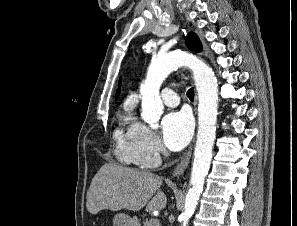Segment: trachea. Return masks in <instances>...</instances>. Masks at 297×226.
I'll use <instances>...</instances> for the list:
<instances>
[{"label":"trachea","instance_id":"obj_1","mask_svg":"<svg viewBox=\"0 0 297 226\" xmlns=\"http://www.w3.org/2000/svg\"><path fill=\"white\" fill-rule=\"evenodd\" d=\"M187 96H188V98H189L191 101H193V99H194V90H193V88H191V89H189V90L187 91Z\"/></svg>","mask_w":297,"mask_h":226}]
</instances>
